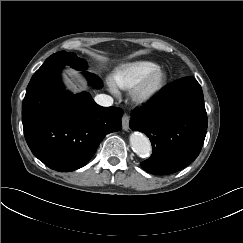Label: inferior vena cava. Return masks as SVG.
Segmentation results:
<instances>
[{"label": "inferior vena cava", "mask_w": 243, "mask_h": 243, "mask_svg": "<svg viewBox=\"0 0 243 243\" xmlns=\"http://www.w3.org/2000/svg\"><path fill=\"white\" fill-rule=\"evenodd\" d=\"M95 102L103 107H109L113 104V98L105 94H99L95 96Z\"/></svg>", "instance_id": "1"}]
</instances>
